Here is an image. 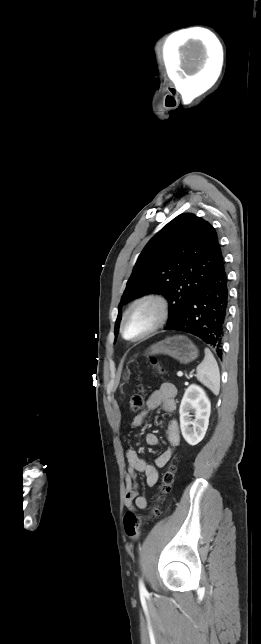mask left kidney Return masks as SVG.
Wrapping results in <instances>:
<instances>
[{
  "instance_id": "1",
  "label": "left kidney",
  "mask_w": 261,
  "mask_h": 644,
  "mask_svg": "<svg viewBox=\"0 0 261 644\" xmlns=\"http://www.w3.org/2000/svg\"><path fill=\"white\" fill-rule=\"evenodd\" d=\"M190 411L195 414L194 420L189 415ZM210 412L211 404L205 391L196 384L190 385L185 390L179 408L180 428L183 438L188 444L197 445L204 438L209 424Z\"/></svg>"
}]
</instances>
